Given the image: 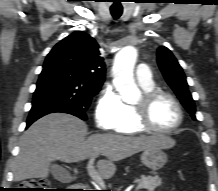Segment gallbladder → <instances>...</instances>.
I'll list each match as a JSON object with an SVG mask.
<instances>
[{
	"instance_id": "bac80fb5",
	"label": "gallbladder",
	"mask_w": 218,
	"mask_h": 191,
	"mask_svg": "<svg viewBox=\"0 0 218 191\" xmlns=\"http://www.w3.org/2000/svg\"><path fill=\"white\" fill-rule=\"evenodd\" d=\"M51 173L52 175L57 179V180H62V175L66 174L68 175L67 171H65L64 168L58 166V165H53L51 166Z\"/></svg>"
}]
</instances>
